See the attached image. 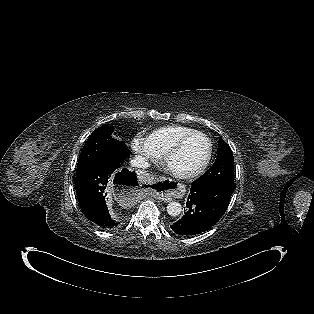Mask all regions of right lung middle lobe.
Segmentation results:
<instances>
[{"label":"right lung middle lobe","mask_w":314,"mask_h":314,"mask_svg":"<svg viewBox=\"0 0 314 314\" xmlns=\"http://www.w3.org/2000/svg\"><path fill=\"white\" fill-rule=\"evenodd\" d=\"M113 131V127L103 126L92 132L80 153L77 173L112 159L121 160L129 157L126 144L111 136Z\"/></svg>","instance_id":"obj_1"}]
</instances>
